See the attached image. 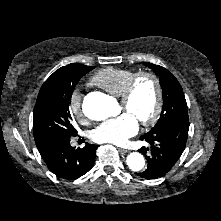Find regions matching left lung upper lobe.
I'll return each mask as SVG.
<instances>
[{
  "label": "left lung upper lobe",
  "mask_w": 221,
  "mask_h": 221,
  "mask_svg": "<svg viewBox=\"0 0 221 221\" xmlns=\"http://www.w3.org/2000/svg\"><path fill=\"white\" fill-rule=\"evenodd\" d=\"M143 64L160 77L163 92V108L160 118L149 132L160 130L178 121H189L185 96L175 76L159 65L149 62H143Z\"/></svg>",
  "instance_id": "left-lung-upper-lobe-1"
}]
</instances>
